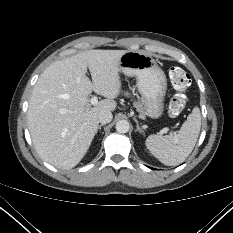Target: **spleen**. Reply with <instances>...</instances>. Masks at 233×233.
Instances as JSON below:
<instances>
[{
  "instance_id": "spleen-1",
  "label": "spleen",
  "mask_w": 233,
  "mask_h": 233,
  "mask_svg": "<svg viewBox=\"0 0 233 233\" xmlns=\"http://www.w3.org/2000/svg\"><path fill=\"white\" fill-rule=\"evenodd\" d=\"M201 127L200 109L195 107L180 130L174 135H150L145 144L147 149L167 166H175L185 161L192 152Z\"/></svg>"
}]
</instances>
